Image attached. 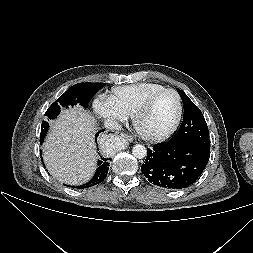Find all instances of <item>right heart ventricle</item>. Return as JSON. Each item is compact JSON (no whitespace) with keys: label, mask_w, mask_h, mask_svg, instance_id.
Masks as SVG:
<instances>
[{"label":"right heart ventricle","mask_w":253,"mask_h":253,"mask_svg":"<svg viewBox=\"0 0 253 253\" xmlns=\"http://www.w3.org/2000/svg\"><path fill=\"white\" fill-rule=\"evenodd\" d=\"M164 87L156 83H138L116 87L109 97L117 110L125 117H133L141 103L151 94Z\"/></svg>","instance_id":"e07e8e85"}]
</instances>
